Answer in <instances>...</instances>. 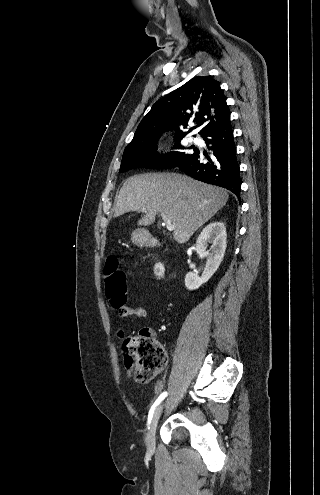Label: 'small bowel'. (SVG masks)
I'll return each instance as SVG.
<instances>
[{"mask_svg":"<svg viewBox=\"0 0 320 495\" xmlns=\"http://www.w3.org/2000/svg\"><path fill=\"white\" fill-rule=\"evenodd\" d=\"M119 314L121 317L134 316V317H138V318H141L144 320H148V318H149L147 310L143 307H129V306H127V307H124V309L122 311H119ZM118 336L122 337V332L120 330L118 331ZM125 365H126V369H127V375L129 378H131V375H132L131 364L125 362Z\"/></svg>","mask_w":320,"mask_h":495,"instance_id":"obj_1","label":"small bowel"}]
</instances>
